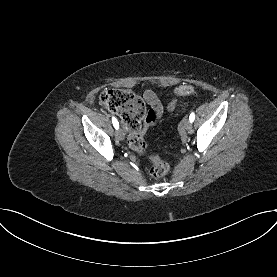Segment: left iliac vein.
<instances>
[{"mask_svg": "<svg viewBox=\"0 0 277 277\" xmlns=\"http://www.w3.org/2000/svg\"><path fill=\"white\" fill-rule=\"evenodd\" d=\"M182 129L190 131L192 129V122L188 118H184L182 121Z\"/></svg>", "mask_w": 277, "mask_h": 277, "instance_id": "4c4485c4", "label": "left iliac vein"}]
</instances>
